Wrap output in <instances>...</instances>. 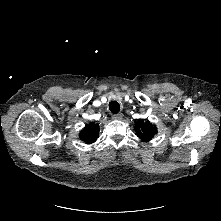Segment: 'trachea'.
Here are the masks:
<instances>
[{
    "instance_id": "trachea-1",
    "label": "trachea",
    "mask_w": 221,
    "mask_h": 221,
    "mask_svg": "<svg viewBox=\"0 0 221 221\" xmlns=\"http://www.w3.org/2000/svg\"><path fill=\"white\" fill-rule=\"evenodd\" d=\"M109 109L111 113L117 114L120 111V105L117 101H112L109 103Z\"/></svg>"
}]
</instances>
